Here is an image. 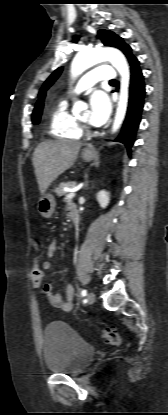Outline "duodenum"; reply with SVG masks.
Listing matches in <instances>:
<instances>
[{"label": "duodenum", "instance_id": "1", "mask_svg": "<svg viewBox=\"0 0 168 415\" xmlns=\"http://www.w3.org/2000/svg\"><path fill=\"white\" fill-rule=\"evenodd\" d=\"M68 213L73 225L76 226L78 223V215L76 208L74 206H70L68 209Z\"/></svg>", "mask_w": 168, "mask_h": 415}]
</instances>
